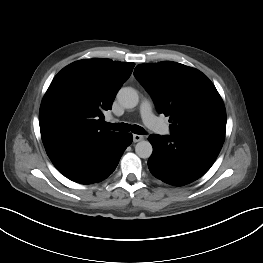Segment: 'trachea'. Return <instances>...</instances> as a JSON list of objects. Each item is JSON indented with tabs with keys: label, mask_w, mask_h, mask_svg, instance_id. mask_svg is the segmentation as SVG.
<instances>
[{
	"label": "trachea",
	"mask_w": 263,
	"mask_h": 263,
	"mask_svg": "<svg viewBox=\"0 0 263 263\" xmlns=\"http://www.w3.org/2000/svg\"><path fill=\"white\" fill-rule=\"evenodd\" d=\"M105 127L111 130H115V131H130L138 134V135H144L145 131L142 127L138 126V125H132L130 126L127 123H118V124H112V123H104Z\"/></svg>",
	"instance_id": "obj_1"
}]
</instances>
